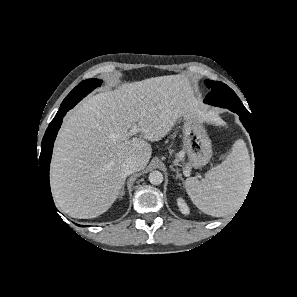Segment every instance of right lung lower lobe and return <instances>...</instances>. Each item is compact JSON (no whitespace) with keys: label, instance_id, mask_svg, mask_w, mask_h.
<instances>
[{"label":"right lung lower lobe","instance_id":"right-lung-lower-lobe-1","mask_svg":"<svg viewBox=\"0 0 297 297\" xmlns=\"http://www.w3.org/2000/svg\"><path fill=\"white\" fill-rule=\"evenodd\" d=\"M65 113H66L65 111L58 112L54 120L49 124V127L47 128L41 143V153L37 162V164L39 163V169H40L41 179L43 182L44 191L46 195H48V197L50 198L53 206H54V203L51 196L50 184H49V167H50L54 141L58 133V130L61 126L62 119Z\"/></svg>","mask_w":297,"mask_h":297}]
</instances>
